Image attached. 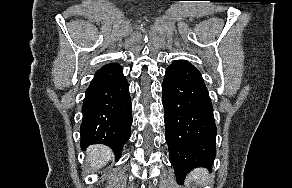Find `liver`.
I'll return each mask as SVG.
<instances>
[{"instance_id":"1","label":"liver","mask_w":292,"mask_h":188,"mask_svg":"<svg viewBox=\"0 0 292 188\" xmlns=\"http://www.w3.org/2000/svg\"><path fill=\"white\" fill-rule=\"evenodd\" d=\"M112 158V151L104 145H93L87 150V161L92 169L102 168Z\"/></svg>"}]
</instances>
